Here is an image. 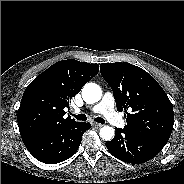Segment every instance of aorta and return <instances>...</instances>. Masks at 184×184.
Instances as JSON below:
<instances>
[{
	"label": "aorta",
	"mask_w": 184,
	"mask_h": 184,
	"mask_svg": "<svg viewBox=\"0 0 184 184\" xmlns=\"http://www.w3.org/2000/svg\"><path fill=\"white\" fill-rule=\"evenodd\" d=\"M83 100L88 104L98 102L102 97V90L95 83H87L82 89ZM115 131L110 126H104L100 129L99 135L103 140L109 141L114 137Z\"/></svg>",
	"instance_id": "obj_1"
}]
</instances>
